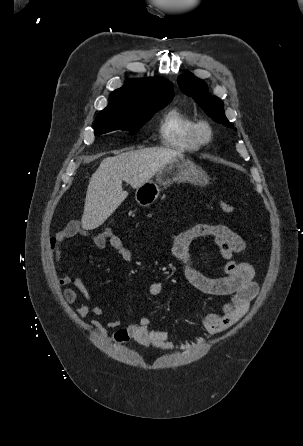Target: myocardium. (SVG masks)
I'll return each mask as SVG.
<instances>
[{
	"label": "myocardium",
	"mask_w": 303,
	"mask_h": 446,
	"mask_svg": "<svg viewBox=\"0 0 303 446\" xmlns=\"http://www.w3.org/2000/svg\"><path fill=\"white\" fill-rule=\"evenodd\" d=\"M196 136L201 144H208L213 138V129L206 120H200L196 123Z\"/></svg>",
	"instance_id": "f54148a6"
}]
</instances>
